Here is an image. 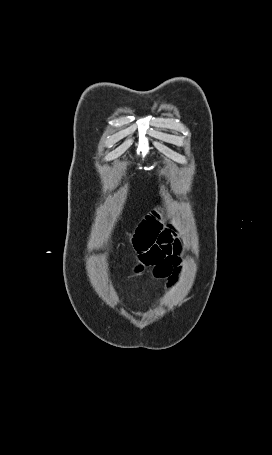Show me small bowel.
Listing matches in <instances>:
<instances>
[{"label": "small bowel", "mask_w": 272, "mask_h": 455, "mask_svg": "<svg viewBox=\"0 0 272 455\" xmlns=\"http://www.w3.org/2000/svg\"><path fill=\"white\" fill-rule=\"evenodd\" d=\"M134 247L138 254L139 268H152L156 278H172L179 264L178 241L168 228L155 216H148L137 227Z\"/></svg>", "instance_id": "c3829d8e"}]
</instances>
